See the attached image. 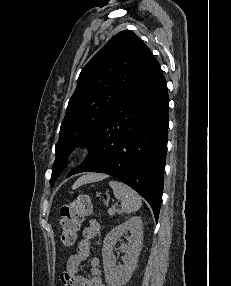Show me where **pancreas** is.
I'll use <instances>...</instances> for the list:
<instances>
[{
  "instance_id": "obj_1",
  "label": "pancreas",
  "mask_w": 231,
  "mask_h": 286,
  "mask_svg": "<svg viewBox=\"0 0 231 286\" xmlns=\"http://www.w3.org/2000/svg\"><path fill=\"white\" fill-rule=\"evenodd\" d=\"M120 211L119 210H117L115 207H112V208H110L109 210H108V214L110 215V216H113L115 213H119Z\"/></svg>"
}]
</instances>
